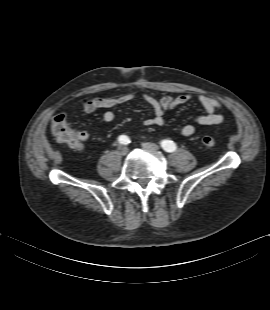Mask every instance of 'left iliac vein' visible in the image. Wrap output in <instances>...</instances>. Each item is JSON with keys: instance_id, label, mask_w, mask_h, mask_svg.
Returning <instances> with one entry per match:
<instances>
[{"instance_id": "1", "label": "left iliac vein", "mask_w": 270, "mask_h": 310, "mask_svg": "<svg viewBox=\"0 0 270 310\" xmlns=\"http://www.w3.org/2000/svg\"><path fill=\"white\" fill-rule=\"evenodd\" d=\"M142 147L145 149L153 150V151H156L159 149V147L156 144L150 143V142L142 143Z\"/></svg>"}]
</instances>
